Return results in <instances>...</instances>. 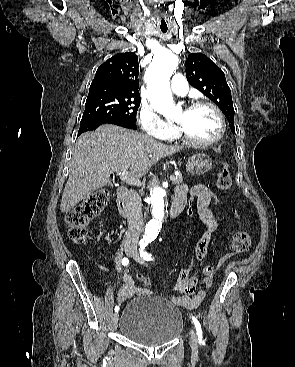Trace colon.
<instances>
[{"label": "colon", "instance_id": "5ec220e1", "mask_svg": "<svg viewBox=\"0 0 295 367\" xmlns=\"http://www.w3.org/2000/svg\"><path fill=\"white\" fill-rule=\"evenodd\" d=\"M232 178L229 168L224 164L219 170L216 178V185L221 190H227L231 187ZM110 199V193L106 189H100L83 201H81L76 207L69 211L66 215V223L68 225V235L69 238L77 244H82L87 240L88 237V225L89 223L101 213V211L106 207ZM213 200H211V205L219 206L221 205V198L219 195H214ZM196 196L190 195L188 197L187 204L185 206L186 212L195 211ZM251 245V240L249 234L244 230H238L233 234L232 237V254L224 257L220 265L224 264L232 255H242L246 253ZM139 280L146 286L151 284L150 277L141 274Z\"/></svg>", "mask_w": 295, "mask_h": 367}]
</instances>
